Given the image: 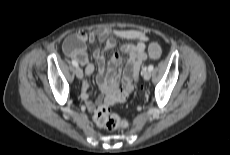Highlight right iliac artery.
Returning a JSON list of instances; mask_svg holds the SVG:
<instances>
[{"mask_svg":"<svg viewBox=\"0 0 230 155\" xmlns=\"http://www.w3.org/2000/svg\"><path fill=\"white\" fill-rule=\"evenodd\" d=\"M72 65L78 67V63L75 60H72Z\"/></svg>","mask_w":230,"mask_h":155,"instance_id":"82829eb1","label":"right iliac artery"}]
</instances>
